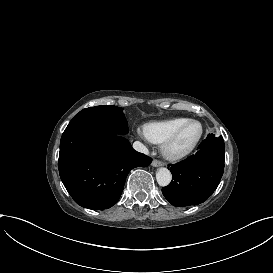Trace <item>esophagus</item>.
I'll list each match as a JSON object with an SVG mask.
<instances>
[{
    "label": "esophagus",
    "instance_id": "1",
    "mask_svg": "<svg viewBox=\"0 0 273 273\" xmlns=\"http://www.w3.org/2000/svg\"><path fill=\"white\" fill-rule=\"evenodd\" d=\"M163 165H164V163L159 160L152 161V166H154V167H159V166H163Z\"/></svg>",
    "mask_w": 273,
    "mask_h": 273
}]
</instances>
